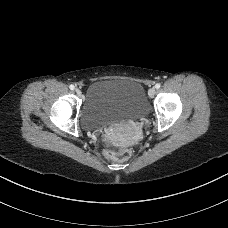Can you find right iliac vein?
Segmentation results:
<instances>
[{"label":"right iliac vein","instance_id":"1","mask_svg":"<svg viewBox=\"0 0 228 228\" xmlns=\"http://www.w3.org/2000/svg\"><path fill=\"white\" fill-rule=\"evenodd\" d=\"M75 92H76V94H77L78 96H81V90H80L79 88H76V89H75Z\"/></svg>","mask_w":228,"mask_h":228}]
</instances>
